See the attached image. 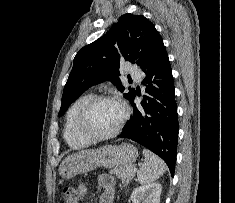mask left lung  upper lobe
Returning <instances> with one entry per match:
<instances>
[{"label":"left lung upper lobe","mask_w":235,"mask_h":203,"mask_svg":"<svg viewBox=\"0 0 235 203\" xmlns=\"http://www.w3.org/2000/svg\"><path fill=\"white\" fill-rule=\"evenodd\" d=\"M161 39L154 25L143 15L124 14L102 37L83 47L75 56L73 68L63 90L59 116L89 87L110 80L124 91L119 75L120 61L143 66L157 41ZM124 96L130 100L135 90Z\"/></svg>","instance_id":"obj_1"}]
</instances>
